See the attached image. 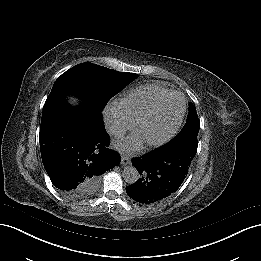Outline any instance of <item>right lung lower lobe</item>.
<instances>
[{
	"instance_id": "right-lung-lower-lobe-1",
	"label": "right lung lower lobe",
	"mask_w": 261,
	"mask_h": 261,
	"mask_svg": "<svg viewBox=\"0 0 261 261\" xmlns=\"http://www.w3.org/2000/svg\"><path fill=\"white\" fill-rule=\"evenodd\" d=\"M39 140L52 184L68 195H78L121 161L117 152L107 148L109 135L101 111L86 102L71 107L62 95L48 96Z\"/></svg>"
}]
</instances>
